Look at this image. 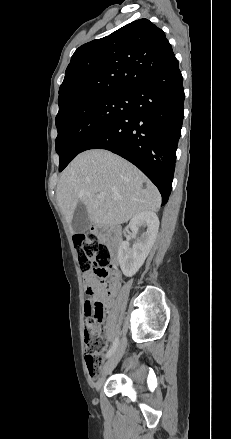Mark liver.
<instances>
[{
    "label": "liver",
    "instance_id": "1",
    "mask_svg": "<svg viewBox=\"0 0 231 439\" xmlns=\"http://www.w3.org/2000/svg\"><path fill=\"white\" fill-rule=\"evenodd\" d=\"M101 193L104 198L99 200ZM56 195L72 233L79 203L86 206L91 222L109 226L125 223L141 212H157L161 205L158 189L138 168L103 149L80 153L62 173Z\"/></svg>",
    "mask_w": 231,
    "mask_h": 439
}]
</instances>
